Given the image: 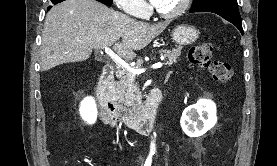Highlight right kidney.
Returning a JSON list of instances; mask_svg holds the SVG:
<instances>
[{
    "label": "right kidney",
    "mask_w": 277,
    "mask_h": 166,
    "mask_svg": "<svg viewBox=\"0 0 277 166\" xmlns=\"http://www.w3.org/2000/svg\"><path fill=\"white\" fill-rule=\"evenodd\" d=\"M80 115L88 124H94L97 119V107L93 97L85 98L80 105Z\"/></svg>",
    "instance_id": "1"
}]
</instances>
